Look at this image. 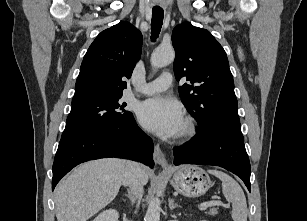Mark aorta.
<instances>
[{
    "instance_id": "762f6f07",
    "label": "aorta",
    "mask_w": 307,
    "mask_h": 221,
    "mask_svg": "<svg viewBox=\"0 0 307 221\" xmlns=\"http://www.w3.org/2000/svg\"><path fill=\"white\" fill-rule=\"evenodd\" d=\"M175 58L172 47H158L151 55V65L154 68H162L169 65ZM160 200L156 197L150 199L144 221L160 220Z\"/></svg>"
}]
</instances>
